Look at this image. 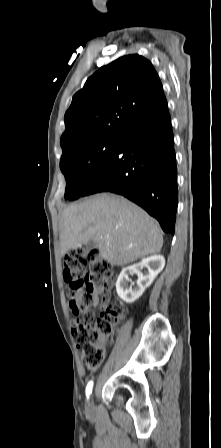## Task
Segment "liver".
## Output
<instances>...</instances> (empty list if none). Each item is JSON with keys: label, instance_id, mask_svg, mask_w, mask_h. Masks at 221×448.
<instances>
[{"label": "liver", "instance_id": "obj_1", "mask_svg": "<svg viewBox=\"0 0 221 448\" xmlns=\"http://www.w3.org/2000/svg\"><path fill=\"white\" fill-rule=\"evenodd\" d=\"M93 241L111 265L123 266L157 254L163 246L158 223L127 199L99 194L65 208L60 217L61 255Z\"/></svg>", "mask_w": 221, "mask_h": 448}]
</instances>
